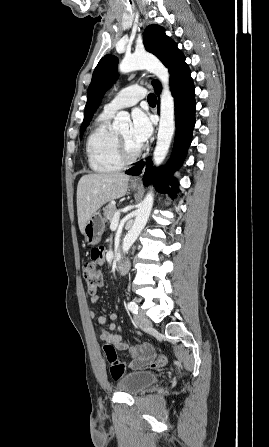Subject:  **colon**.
<instances>
[{"instance_id": "5ec220e1", "label": "colon", "mask_w": 269, "mask_h": 447, "mask_svg": "<svg viewBox=\"0 0 269 447\" xmlns=\"http://www.w3.org/2000/svg\"><path fill=\"white\" fill-rule=\"evenodd\" d=\"M89 258V261H85L82 264V277L86 283L87 293L89 295H95L103 284L101 268L104 261V252L101 249L92 250ZM103 352L110 363L109 375L114 380H120L130 370L142 371L146 366L155 369L167 364V357L159 355L150 358L148 363L138 362L132 366V369H130L125 363L118 360L117 350L112 345L105 344L103 346ZM134 353L139 356H148L152 354V349L148 347H139L134 349Z\"/></svg>"}]
</instances>
